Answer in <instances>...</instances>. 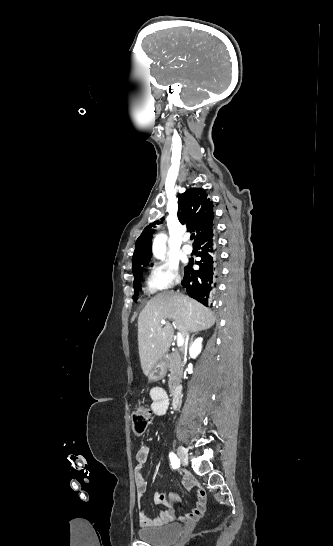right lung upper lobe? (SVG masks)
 Instances as JSON below:
<instances>
[{
  "label": "right lung upper lobe",
  "mask_w": 333,
  "mask_h": 546,
  "mask_svg": "<svg viewBox=\"0 0 333 546\" xmlns=\"http://www.w3.org/2000/svg\"><path fill=\"white\" fill-rule=\"evenodd\" d=\"M178 219L188 229L196 232L195 241L214 225V212L212 201L207 197L202 188H191L186 190L178 198ZM162 218L161 220H163ZM155 224H161L157 220L147 226L136 241L134 255L132 257L134 276L139 274L143 267L149 264L152 256V234ZM152 230V231H151Z\"/></svg>",
  "instance_id": "right-lung-upper-lobe-1"
}]
</instances>
